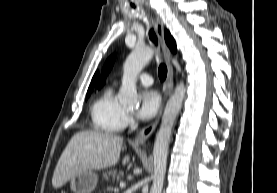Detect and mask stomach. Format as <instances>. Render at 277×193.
Returning <instances> with one entry per match:
<instances>
[{"instance_id": "1", "label": "stomach", "mask_w": 277, "mask_h": 193, "mask_svg": "<svg viewBox=\"0 0 277 193\" xmlns=\"http://www.w3.org/2000/svg\"><path fill=\"white\" fill-rule=\"evenodd\" d=\"M97 181L98 177L93 171H84L70 179V189L74 193H91Z\"/></svg>"}]
</instances>
